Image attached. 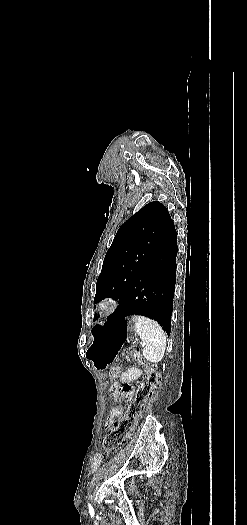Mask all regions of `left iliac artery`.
<instances>
[{
  "mask_svg": "<svg viewBox=\"0 0 247 525\" xmlns=\"http://www.w3.org/2000/svg\"><path fill=\"white\" fill-rule=\"evenodd\" d=\"M88 508H89V511H90V512L93 511V508H92L91 504H88Z\"/></svg>",
  "mask_w": 247,
  "mask_h": 525,
  "instance_id": "obj_1",
  "label": "left iliac artery"
}]
</instances>
